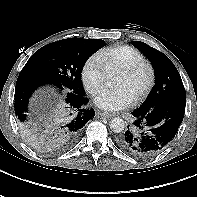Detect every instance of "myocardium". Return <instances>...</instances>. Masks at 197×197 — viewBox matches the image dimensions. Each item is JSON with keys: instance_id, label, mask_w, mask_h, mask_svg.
Wrapping results in <instances>:
<instances>
[{"instance_id": "1", "label": "myocardium", "mask_w": 197, "mask_h": 197, "mask_svg": "<svg viewBox=\"0 0 197 197\" xmlns=\"http://www.w3.org/2000/svg\"><path fill=\"white\" fill-rule=\"evenodd\" d=\"M144 69L148 72V81L144 89L134 98V102L144 100L152 91L156 78L155 69L150 62L144 60L119 71V74L126 77H134Z\"/></svg>"}]
</instances>
